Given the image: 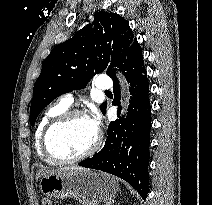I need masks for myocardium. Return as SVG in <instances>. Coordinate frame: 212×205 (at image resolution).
Returning a JSON list of instances; mask_svg holds the SVG:
<instances>
[{"label": "myocardium", "mask_w": 212, "mask_h": 205, "mask_svg": "<svg viewBox=\"0 0 212 205\" xmlns=\"http://www.w3.org/2000/svg\"><path fill=\"white\" fill-rule=\"evenodd\" d=\"M75 117H85L87 118V115L78 109L73 110H66L63 113L56 116L54 119H52L49 124L46 126L42 138H41V146L43 152L46 154L47 157H49L51 160H53L56 163L61 164H70L79 162L81 160H84L90 156H92L99 148L101 144V136L99 133H96V137L92 145L83 153L80 155H77L75 157H62L58 153L55 152V150L52 147L51 144V137L55 130H57L60 126L71 120Z\"/></svg>", "instance_id": "myocardium-1"}]
</instances>
